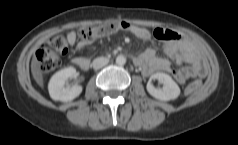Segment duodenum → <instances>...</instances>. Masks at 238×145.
Returning a JSON list of instances; mask_svg holds the SVG:
<instances>
[{"label":"duodenum","instance_id":"duodenum-1","mask_svg":"<svg viewBox=\"0 0 238 145\" xmlns=\"http://www.w3.org/2000/svg\"><path fill=\"white\" fill-rule=\"evenodd\" d=\"M135 61V57L133 58V62ZM134 64H135V62H134Z\"/></svg>","mask_w":238,"mask_h":145}]
</instances>
